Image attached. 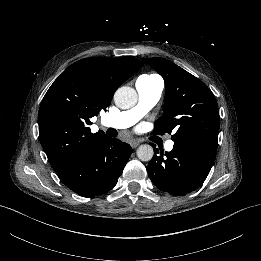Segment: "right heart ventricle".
<instances>
[{"instance_id": "1", "label": "right heart ventricle", "mask_w": 261, "mask_h": 261, "mask_svg": "<svg viewBox=\"0 0 261 261\" xmlns=\"http://www.w3.org/2000/svg\"><path fill=\"white\" fill-rule=\"evenodd\" d=\"M157 80L163 81L162 78L159 75H157V74L145 73V74H142V75H140L138 77L136 83H139V82H153V81H157Z\"/></svg>"}]
</instances>
